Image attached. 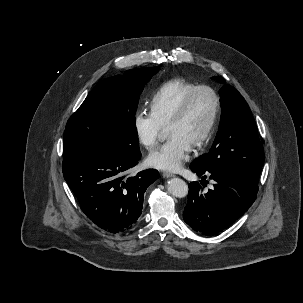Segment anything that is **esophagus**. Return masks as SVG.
Listing matches in <instances>:
<instances>
[{"mask_svg": "<svg viewBox=\"0 0 303 303\" xmlns=\"http://www.w3.org/2000/svg\"><path fill=\"white\" fill-rule=\"evenodd\" d=\"M174 176H175V175L172 174V173H168V172H164V173H163V177L166 178V179L172 178V177H174Z\"/></svg>", "mask_w": 303, "mask_h": 303, "instance_id": "34e87169", "label": "esophagus"}]
</instances>
